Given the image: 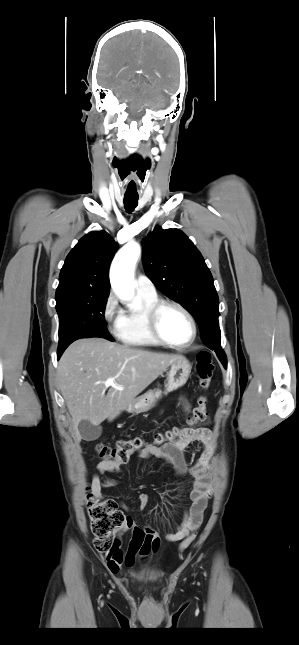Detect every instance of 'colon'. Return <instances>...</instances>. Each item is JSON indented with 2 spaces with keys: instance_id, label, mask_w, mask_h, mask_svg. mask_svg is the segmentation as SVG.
I'll list each match as a JSON object with an SVG mask.
<instances>
[{
  "instance_id": "colon-1",
  "label": "colon",
  "mask_w": 299,
  "mask_h": 645,
  "mask_svg": "<svg viewBox=\"0 0 299 645\" xmlns=\"http://www.w3.org/2000/svg\"><path fill=\"white\" fill-rule=\"evenodd\" d=\"M214 366L209 352L202 351L197 356V374L199 385L203 390L210 387ZM207 414V399L201 396L197 406L187 417V425L193 426L205 419ZM185 428L174 427L165 432H158L153 437V443L163 445L181 438ZM146 442L139 437L120 440L115 447L104 444L96 446V453L103 462H112L117 465L125 464L130 457L142 450ZM87 512L90 518V528L93 535L94 547L99 552L109 553L115 546V536L125 527L127 517L119 509L113 499H101L89 492L86 497ZM196 537V529L192 530L180 543L179 549L184 550L190 546Z\"/></svg>"
}]
</instances>
